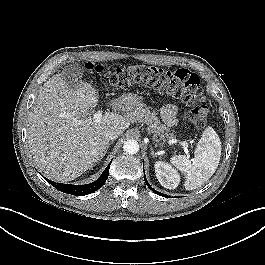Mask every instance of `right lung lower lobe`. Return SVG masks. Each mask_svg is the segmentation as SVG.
<instances>
[{"label":"right lung lower lobe","instance_id":"obj_1","mask_svg":"<svg viewBox=\"0 0 265 265\" xmlns=\"http://www.w3.org/2000/svg\"><path fill=\"white\" fill-rule=\"evenodd\" d=\"M110 164L106 167V169L104 170L103 174L99 177V179H97L93 183L86 184V185H71V184L55 183L47 178H45V180L51 185H53L57 190L62 191L64 193H68L71 195H77V196L87 195V194L97 191L99 188H101L104 185L109 175Z\"/></svg>","mask_w":265,"mask_h":265}]
</instances>
